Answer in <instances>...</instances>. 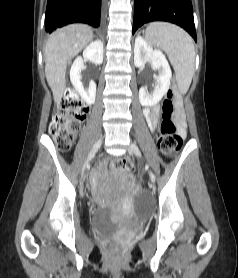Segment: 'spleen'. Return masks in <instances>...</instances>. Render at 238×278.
Returning a JSON list of instances; mask_svg holds the SVG:
<instances>
[{
	"instance_id": "spleen-1",
	"label": "spleen",
	"mask_w": 238,
	"mask_h": 278,
	"mask_svg": "<svg viewBox=\"0 0 238 278\" xmlns=\"http://www.w3.org/2000/svg\"><path fill=\"white\" fill-rule=\"evenodd\" d=\"M145 40L167 54L175 71L178 89L186 93L195 68V48L190 35L176 25L154 22L146 28Z\"/></svg>"
}]
</instances>
